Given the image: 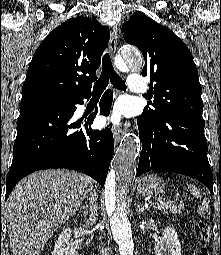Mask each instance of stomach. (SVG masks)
<instances>
[{"instance_id":"0dacf381","label":"stomach","mask_w":221,"mask_h":255,"mask_svg":"<svg viewBox=\"0 0 221 255\" xmlns=\"http://www.w3.org/2000/svg\"><path fill=\"white\" fill-rule=\"evenodd\" d=\"M137 192L141 195L153 196L163 192L164 182L157 175H146L136 182Z\"/></svg>"}]
</instances>
